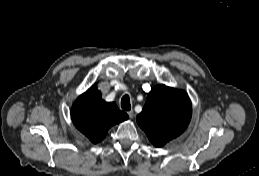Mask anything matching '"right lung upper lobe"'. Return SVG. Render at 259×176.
I'll list each match as a JSON object with an SVG mask.
<instances>
[{
	"label": "right lung upper lobe",
	"mask_w": 259,
	"mask_h": 176,
	"mask_svg": "<svg viewBox=\"0 0 259 176\" xmlns=\"http://www.w3.org/2000/svg\"><path fill=\"white\" fill-rule=\"evenodd\" d=\"M71 118L78 130L93 143H98L111 126L127 120L128 115L119 110L114 102H105L101 92L93 85L78 97L72 106Z\"/></svg>",
	"instance_id": "1"
}]
</instances>
